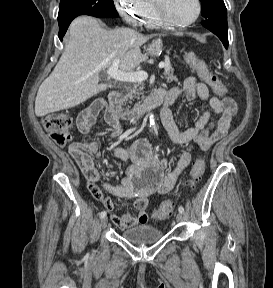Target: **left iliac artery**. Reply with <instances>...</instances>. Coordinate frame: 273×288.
Here are the masks:
<instances>
[{
  "label": "left iliac artery",
  "mask_w": 273,
  "mask_h": 288,
  "mask_svg": "<svg viewBox=\"0 0 273 288\" xmlns=\"http://www.w3.org/2000/svg\"><path fill=\"white\" fill-rule=\"evenodd\" d=\"M178 211H179L180 213H183V212H184V208H183L182 206H179Z\"/></svg>",
  "instance_id": "left-iliac-artery-1"
}]
</instances>
